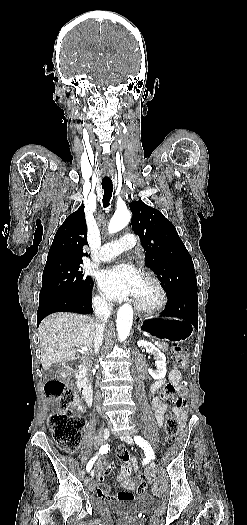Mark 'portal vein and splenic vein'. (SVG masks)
Wrapping results in <instances>:
<instances>
[{"label":"portal vein and splenic vein","mask_w":247,"mask_h":525,"mask_svg":"<svg viewBox=\"0 0 247 525\" xmlns=\"http://www.w3.org/2000/svg\"><path fill=\"white\" fill-rule=\"evenodd\" d=\"M154 346H159L158 340H155ZM81 351H87L86 347H81Z\"/></svg>","instance_id":"18ae733b"}]
</instances>
